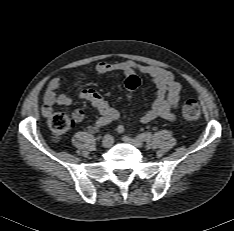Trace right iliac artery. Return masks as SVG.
Here are the masks:
<instances>
[{
    "label": "right iliac artery",
    "mask_w": 234,
    "mask_h": 231,
    "mask_svg": "<svg viewBox=\"0 0 234 231\" xmlns=\"http://www.w3.org/2000/svg\"><path fill=\"white\" fill-rule=\"evenodd\" d=\"M110 123V121L108 120V119H106V118H99L97 121H96V123H95V129H98V128H100V127H102V126H104V125H107V124H109Z\"/></svg>",
    "instance_id": "1"
}]
</instances>
